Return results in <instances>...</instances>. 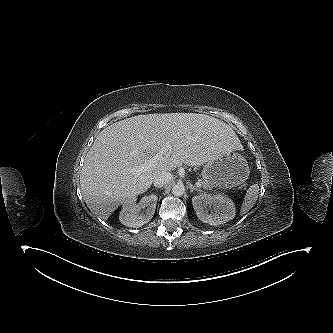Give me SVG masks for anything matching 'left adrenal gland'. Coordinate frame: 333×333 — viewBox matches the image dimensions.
<instances>
[{"instance_id":"1","label":"left adrenal gland","mask_w":333,"mask_h":333,"mask_svg":"<svg viewBox=\"0 0 333 333\" xmlns=\"http://www.w3.org/2000/svg\"><path fill=\"white\" fill-rule=\"evenodd\" d=\"M189 189H190V192H193V191H199V192H202V190L192 184L189 185Z\"/></svg>"}]
</instances>
